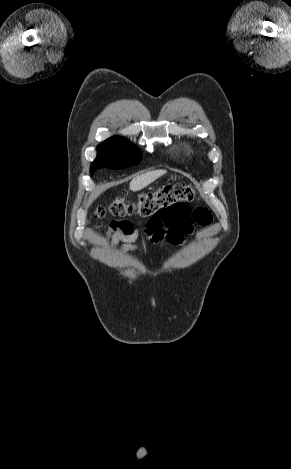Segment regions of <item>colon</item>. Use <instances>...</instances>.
Wrapping results in <instances>:
<instances>
[{
    "mask_svg": "<svg viewBox=\"0 0 291 469\" xmlns=\"http://www.w3.org/2000/svg\"><path fill=\"white\" fill-rule=\"evenodd\" d=\"M194 198L195 192L188 185H167L156 192L140 196L135 202H127L122 198L115 199L106 207H98L94 215L96 218H103L108 214L116 217L138 215L153 218L166 210L184 207L183 203L193 201ZM195 212L199 216L209 213L204 208H198Z\"/></svg>",
    "mask_w": 291,
    "mask_h": 469,
    "instance_id": "5ec220e1",
    "label": "colon"
}]
</instances>
